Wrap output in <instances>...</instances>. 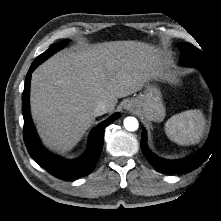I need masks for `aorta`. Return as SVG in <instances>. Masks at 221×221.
I'll return each instance as SVG.
<instances>
[{
	"label": "aorta",
	"mask_w": 221,
	"mask_h": 221,
	"mask_svg": "<svg viewBox=\"0 0 221 221\" xmlns=\"http://www.w3.org/2000/svg\"><path fill=\"white\" fill-rule=\"evenodd\" d=\"M123 123L128 131H136L139 127L138 120L135 117H126Z\"/></svg>",
	"instance_id": "aorta-1"
}]
</instances>
